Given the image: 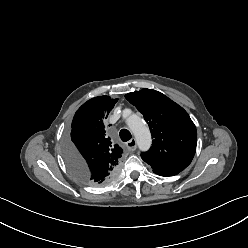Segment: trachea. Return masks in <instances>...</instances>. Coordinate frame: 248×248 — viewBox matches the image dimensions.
I'll return each instance as SVG.
<instances>
[{"label": "trachea", "instance_id": "trachea-1", "mask_svg": "<svg viewBox=\"0 0 248 248\" xmlns=\"http://www.w3.org/2000/svg\"><path fill=\"white\" fill-rule=\"evenodd\" d=\"M119 135L123 142L130 140L132 137L131 133L127 129H122Z\"/></svg>", "mask_w": 248, "mask_h": 248}]
</instances>
